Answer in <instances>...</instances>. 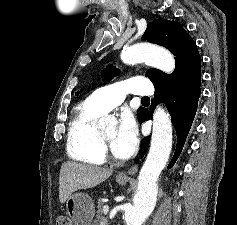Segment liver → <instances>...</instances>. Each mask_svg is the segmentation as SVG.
Here are the masks:
<instances>
[{
    "label": "liver",
    "instance_id": "1",
    "mask_svg": "<svg viewBox=\"0 0 237 225\" xmlns=\"http://www.w3.org/2000/svg\"><path fill=\"white\" fill-rule=\"evenodd\" d=\"M112 170L101 167L64 162L59 175V200L64 203L73 192L97 186L112 175Z\"/></svg>",
    "mask_w": 237,
    "mask_h": 225
}]
</instances>
